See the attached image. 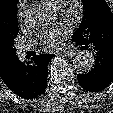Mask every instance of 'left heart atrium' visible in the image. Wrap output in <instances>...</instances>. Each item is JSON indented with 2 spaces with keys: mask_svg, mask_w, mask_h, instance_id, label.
Listing matches in <instances>:
<instances>
[{
  "mask_svg": "<svg viewBox=\"0 0 113 113\" xmlns=\"http://www.w3.org/2000/svg\"><path fill=\"white\" fill-rule=\"evenodd\" d=\"M68 34L69 27L66 24H60L41 33L38 41L45 50H55L62 47Z\"/></svg>",
  "mask_w": 113,
  "mask_h": 113,
  "instance_id": "obj_1",
  "label": "left heart atrium"
}]
</instances>
